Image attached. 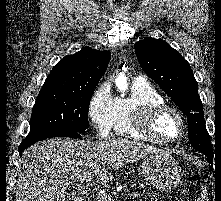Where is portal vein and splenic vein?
<instances>
[{"mask_svg": "<svg viewBox=\"0 0 221 201\" xmlns=\"http://www.w3.org/2000/svg\"><path fill=\"white\" fill-rule=\"evenodd\" d=\"M88 181H89V179H88ZM78 186L82 191H91V188L89 187V185L85 184L84 180H82V179L78 180ZM94 190L95 189H93V192H94ZM131 196L133 198H138L139 194L136 192H133L131 194ZM97 198H98V201H111V200H113V197L110 195H107V194H99V195H97Z\"/></svg>", "mask_w": 221, "mask_h": 201, "instance_id": "portal-vein-and-splenic-vein-1", "label": "portal vein and splenic vein"}]
</instances>
